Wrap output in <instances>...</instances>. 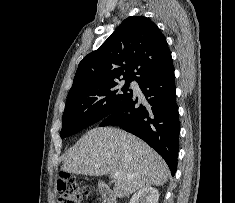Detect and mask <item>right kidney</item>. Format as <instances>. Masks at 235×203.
<instances>
[{
  "label": "right kidney",
  "instance_id": "right-kidney-1",
  "mask_svg": "<svg viewBox=\"0 0 235 203\" xmlns=\"http://www.w3.org/2000/svg\"><path fill=\"white\" fill-rule=\"evenodd\" d=\"M159 194L157 189L148 186L136 192L129 203H158Z\"/></svg>",
  "mask_w": 235,
  "mask_h": 203
}]
</instances>
